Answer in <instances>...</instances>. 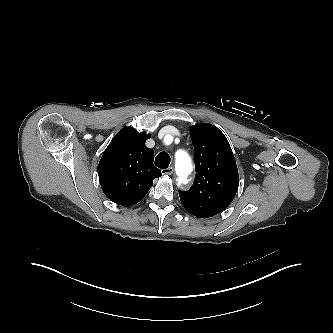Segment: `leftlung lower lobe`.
<instances>
[{"label":"left lung lower lobe","mask_w":333,"mask_h":333,"mask_svg":"<svg viewBox=\"0 0 333 333\" xmlns=\"http://www.w3.org/2000/svg\"><path fill=\"white\" fill-rule=\"evenodd\" d=\"M191 215H194L198 218H207V217H210V216H207V215H204V214H200V213H190Z\"/></svg>","instance_id":"obj_1"}]
</instances>
